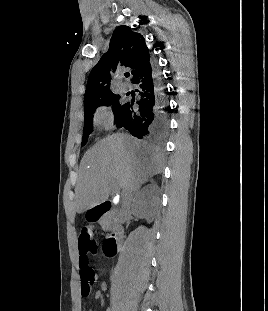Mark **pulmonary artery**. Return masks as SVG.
<instances>
[{
	"instance_id": "pulmonary-artery-1",
	"label": "pulmonary artery",
	"mask_w": 268,
	"mask_h": 311,
	"mask_svg": "<svg viewBox=\"0 0 268 311\" xmlns=\"http://www.w3.org/2000/svg\"><path fill=\"white\" fill-rule=\"evenodd\" d=\"M120 88L122 91H126L128 89V86L126 84H122Z\"/></svg>"
}]
</instances>
